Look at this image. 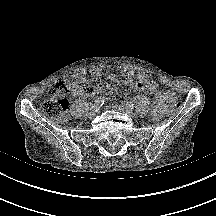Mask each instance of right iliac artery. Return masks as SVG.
Returning <instances> with one entry per match:
<instances>
[{
    "mask_svg": "<svg viewBox=\"0 0 216 216\" xmlns=\"http://www.w3.org/2000/svg\"><path fill=\"white\" fill-rule=\"evenodd\" d=\"M104 102H105V98L100 96L95 100L94 106L92 108L99 110V108L104 104Z\"/></svg>",
    "mask_w": 216,
    "mask_h": 216,
    "instance_id": "82829eb1",
    "label": "right iliac artery"
}]
</instances>
